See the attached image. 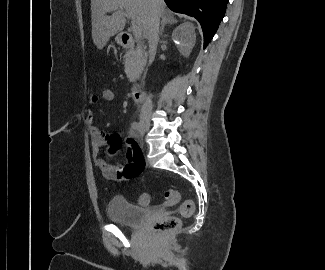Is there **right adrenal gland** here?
<instances>
[{
	"mask_svg": "<svg viewBox=\"0 0 325 270\" xmlns=\"http://www.w3.org/2000/svg\"><path fill=\"white\" fill-rule=\"evenodd\" d=\"M177 20L175 18H173L172 16L170 15H164L163 18H162V22H161V29H160V36H162L163 34V31H164V27L167 25V24H174L176 23Z\"/></svg>",
	"mask_w": 325,
	"mask_h": 270,
	"instance_id": "2a0ac1e0",
	"label": "right adrenal gland"
}]
</instances>
